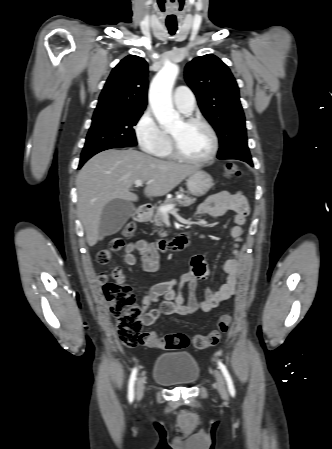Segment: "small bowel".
I'll list each match as a JSON object with an SVG mask.
<instances>
[{"label": "small bowel", "instance_id": "obj_1", "mask_svg": "<svg viewBox=\"0 0 332 449\" xmlns=\"http://www.w3.org/2000/svg\"><path fill=\"white\" fill-rule=\"evenodd\" d=\"M227 211L235 213V224L230 234L235 241L234 257L225 264L227 273L226 283L217 291L204 290V298L198 294L199 282L205 280L210 274V267L202 255L197 254L191 258L190 270L179 279L159 282L150 289L144 291L142 298V321L145 325H152L162 315L186 316L196 311L209 312L219 306L220 303L230 299L236 290L238 274L241 267V257L238 246L243 240V225L250 213L248 201L243 193H230L222 191L210 196L201 203L197 209L200 215L220 216ZM135 252L141 255L142 269L146 272H154L160 267V253L156 247L146 240L128 243L125 247L124 262L128 266L136 264ZM116 270V278L124 279L122 268ZM188 284L189 301L184 304V298L176 293L175 286ZM158 303L156 308H150L151 304Z\"/></svg>", "mask_w": 332, "mask_h": 449}]
</instances>
